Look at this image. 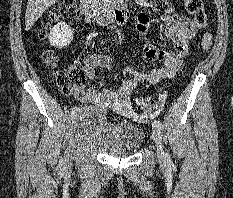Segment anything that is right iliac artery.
Masks as SVG:
<instances>
[{
    "mask_svg": "<svg viewBox=\"0 0 233 198\" xmlns=\"http://www.w3.org/2000/svg\"><path fill=\"white\" fill-rule=\"evenodd\" d=\"M77 111H78V108L77 107H73L71 109V114L74 115V114H76Z\"/></svg>",
    "mask_w": 233,
    "mask_h": 198,
    "instance_id": "82829eb1",
    "label": "right iliac artery"
}]
</instances>
